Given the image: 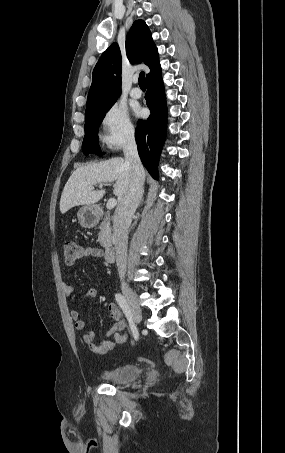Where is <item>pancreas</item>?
<instances>
[{
  "instance_id": "cf45deb5",
  "label": "pancreas",
  "mask_w": 285,
  "mask_h": 453,
  "mask_svg": "<svg viewBox=\"0 0 285 453\" xmlns=\"http://www.w3.org/2000/svg\"><path fill=\"white\" fill-rule=\"evenodd\" d=\"M111 240V227L110 219L106 217L100 224V232L98 234V241L101 246L105 247L110 243Z\"/></svg>"
}]
</instances>
